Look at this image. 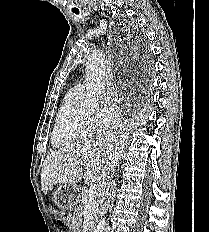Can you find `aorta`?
<instances>
[{"label":"aorta","instance_id":"1","mask_svg":"<svg viewBox=\"0 0 209 232\" xmlns=\"http://www.w3.org/2000/svg\"><path fill=\"white\" fill-rule=\"evenodd\" d=\"M105 62L99 52H94L89 57L85 69L86 97L81 107L89 112L98 109L101 96L105 91ZM106 220L102 218L96 227L95 232H105Z\"/></svg>","mask_w":209,"mask_h":232}]
</instances>
